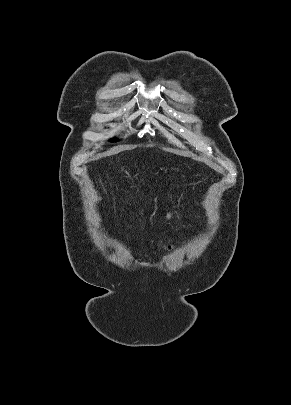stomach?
<instances>
[{
    "label": "stomach",
    "mask_w": 291,
    "mask_h": 405,
    "mask_svg": "<svg viewBox=\"0 0 291 405\" xmlns=\"http://www.w3.org/2000/svg\"><path fill=\"white\" fill-rule=\"evenodd\" d=\"M171 217V215L170 214H167V218H170Z\"/></svg>",
    "instance_id": "1"
}]
</instances>
